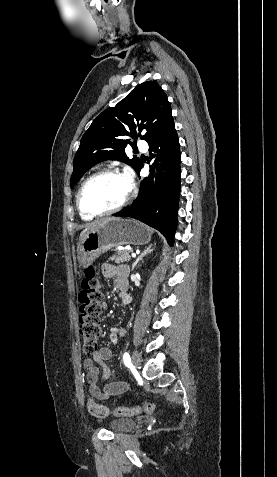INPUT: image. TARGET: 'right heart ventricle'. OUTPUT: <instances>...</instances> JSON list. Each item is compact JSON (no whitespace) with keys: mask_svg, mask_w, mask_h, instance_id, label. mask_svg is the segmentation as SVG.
I'll return each instance as SVG.
<instances>
[{"mask_svg":"<svg viewBox=\"0 0 277 477\" xmlns=\"http://www.w3.org/2000/svg\"><path fill=\"white\" fill-rule=\"evenodd\" d=\"M80 215H81V217H82L83 219H85V220H91V219L93 218V217H90V216L83 215V214H81V213H80Z\"/></svg>","mask_w":277,"mask_h":477,"instance_id":"e07e8e85","label":"right heart ventricle"}]
</instances>
